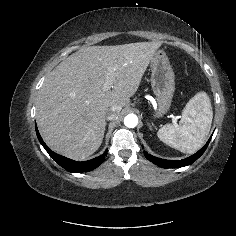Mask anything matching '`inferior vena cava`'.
Instances as JSON below:
<instances>
[{
	"instance_id": "1",
	"label": "inferior vena cava",
	"mask_w": 236,
	"mask_h": 236,
	"mask_svg": "<svg viewBox=\"0 0 236 236\" xmlns=\"http://www.w3.org/2000/svg\"><path fill=\"white\" fill-rule=\"evenodd\" d=\"M118 107H116V106H113V107H111L109 110H107V112H106V118H107V120H113V119H115L116 117H117V115H118Z\"/></svg>"
}]
</instances>
